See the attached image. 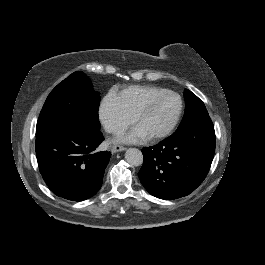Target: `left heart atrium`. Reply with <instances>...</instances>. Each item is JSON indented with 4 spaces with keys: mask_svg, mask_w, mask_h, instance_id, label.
Returning <instances> with one entry per match:
<instances>
[{
    "mask_svg": "<svg viewBox=\"0 0 265 265\" xmlns=\"http://www.w3.org/2000/svg\"><path fill=\"white\" fill-rule=\"evenodd\" d=\"M146 136L147 135L142 130H140L139 128H135L131 132L119 136L118 141L136 142V141L143 139Z\"/></svg>",
    "mask_w": 265,
    "mask_h": 265,
    "instance_id": "obj_1",
    "label": "left heart atrium"
}]
</instances>
